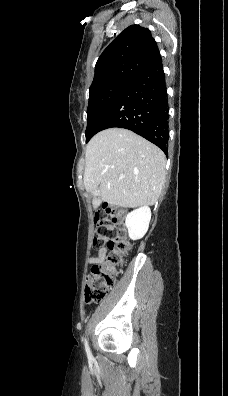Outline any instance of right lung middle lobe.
I'll use <instances>...</instances> for the list:
<instances>
[{
  "mask_svg": "<svg viewBox=\"0 0 228 396\" xmlns=\"http://www.w3.org/2000/svg\"><path fill=\"white\" fill-rule=\"evenodd\" d=\"M128 85L129 83L125 82H112L89 90L86 142L96 134L95 130L99 119Z\"/></svg>",
  "mask_w": 228,
  "mask_h": 396,
  "instance_id": "1",
  "label": "right lung middle lobe"
}]
</instances>
